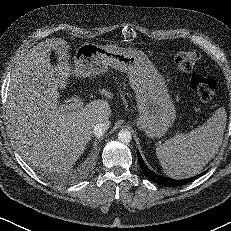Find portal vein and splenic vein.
Masks as SVG:
<instances>
[{
  "label": "portal vein and splenic vein",
  "instance_id": "obj_1",
  "mask_svg": "<svg viewBox=\"0 0 231 231\" xmlns=\"http://www.w3.org/2000/svg\"><path fill=\"white\" fill-rule=\"evenodd\" d=\"M63 107L68 111L79 110V109L81 110L84 107V103L80 99H75L74 103L64 104Z\"/></svg>",
  "mask_w": 231,
  "mask_h": 231
}]
</instances>
